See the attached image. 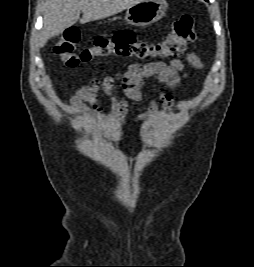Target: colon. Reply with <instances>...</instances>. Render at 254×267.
<instances>
[{
    "label": "colon",
    "instance_id": "colon-1",
    "mask_svg": "<svg viewBox=\"0 0 254 267\" xmlns=\"http://www.w3.org/2000/svg\"><path fill=\"white\" fill-rule=\"evenodd\" d=\"M194 20L190 15L176 19L165 38L153 44L141 42L130 32H118L111 37H99L91 46L77 52L80 33L68 28L54 47L55 53L67 67H77L98 57L117 55L123 57L164 59L182 54L194 42Z\"/></svg>",
    "mask_w": 254,
    "mask_h": 267
}]
</instances>
